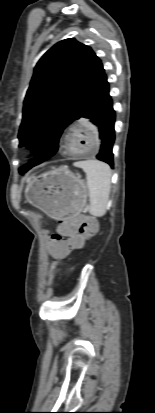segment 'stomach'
<instances>
[{"mask_svg": "<svg viewBox=\"0 0 155 413\" xmlns=\"http://www.w3.org/2000/svg\"><path fill=\"white\" fill-rule=\"evenodd\" d=\"M25 196L54 219L79 214L87 203L86 183L65 167H59L27 181Z\"/></svg>", "mask_w": 155, "mask_h": 413, "instance_id": "0dacf381", "label": "stomach"}]
</instances>
